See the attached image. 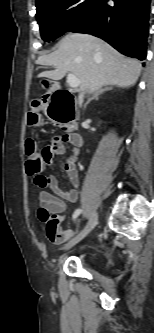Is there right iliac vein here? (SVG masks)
<instances>
[{
  "label": "right iliac vein",
  "mask_w": 154,
  "mask_h": 333,
  "mask_svg": "<svg viewBox=\"0 0 154 333\" xmlns=\"http://www.w3.org/2000/svg\"><path fill=\"white\" fill-rule=\"evenodd\" d=\"M97 222H98V215L97 213H94L90 221L85 226V228L79 234H77L69 243L66 244L65 250L71 249L82 239H84L94 229V227L97 225Z\"/></svg>",
  "instance_id": "obj_1"
}]
</instances>
